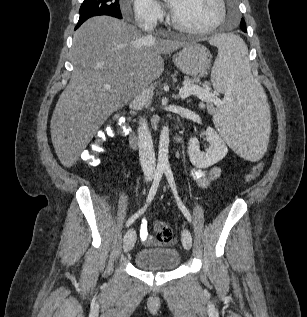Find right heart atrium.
<instances>
[{"mask_svg": "<svg viewBox=\"0 0 307 317\" xmlns=\"http://www.w3.org/2000/svg\"><path fill=\"white\" fill-rule=\"evenodd\" d=\"M135 22L146 28L155 26L164 16L161 6L155 0H131ZM123 14L128 15V9L123 7Z\"/></svg>", "mask_w": 307, "mask_h": 317, "instance_id": "1", "label": "right heart atrium"}]
</instances>
